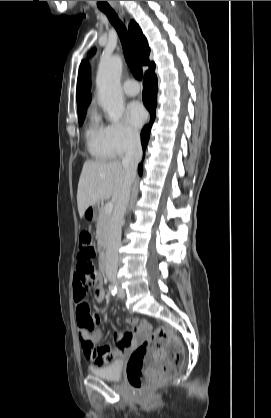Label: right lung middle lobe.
I'll list each match as a JSON object with an SVG mask.
<instances>
[{
  "mask_svg": "<svg viewBox=\"0 0 271 418\" xmlns=\"http://www.w3.org/2000/svg\"><path fill=\"white\" fill-rule=\"evenodd\" d=\"M84 116H85V114L78 115V120H79L80 125L83 123Z\"/></svg>",
  "mask_w": 271,
  "mask_h": 418,
  "instance_id": "right-lung-middle-lobe-1",
  "label": "right lung middle lobe"
}]
</instances>
